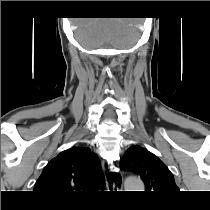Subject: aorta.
<instances>
[{
	"label": "aorta",
	"mask_w": 210,
	"mask_h": 210,
	"mask_svg": "<svg viewBox=\"0 0 210 210\" xmlns=\"http://www.w3.org/2000/svg\"><path fill=\"white\" fill-rule=\"evenodd\" d=\"M125 188L127 191H143L144 184L139 178L130 177L125 181Z\"/></svg>",
	"instance_id": "762f6f07"
}]
</instances>
